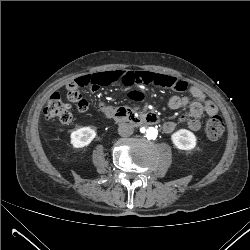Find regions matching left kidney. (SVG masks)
<instances>
[{"mask_svg":"<svg viewBox=\"0 0 250 250\" xmlns=\"http://www.w3.org/2000/svg\"><path fill=\"white\" fill-rule=\"evenodd\" d=\"M174 142L179 149L190 151L197 145V137L189 130L181 129L174 135Z\"/></svg>","mask_w":250,"mask_h":250,"instance_id":"1","label":"left kidney"}]
</instances>
